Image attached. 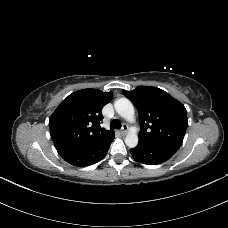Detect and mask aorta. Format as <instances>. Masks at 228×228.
I'll use <instances>...</instances> for the list:
<instances>
[{
	"label": "aorta",
	"instance_id": "obj_1",
	"mask_svg": "<svg viewBox=\"0 0 228 228\" xmlns=\"http://www.w3.org/2000/svg\"><path fill=\"white\" fill-rule=\"evenodd\" d=\"M116 112L126 121L133 123L135 121V110L131 101L127 98H120L115 101ZM125 144L129 148H134L138 144V134L135 128H131L125 137Z\"/></svg>",
	"mask_w": 228,
	"mask_h": 228
}]
</instances>
